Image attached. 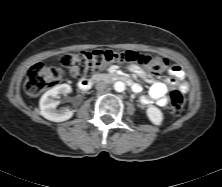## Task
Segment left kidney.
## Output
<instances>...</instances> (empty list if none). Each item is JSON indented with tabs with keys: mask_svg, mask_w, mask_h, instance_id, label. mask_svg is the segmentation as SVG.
Segmentation results:
<instances>
[{
	"mask_svg": "<svg viewBox=\"0 0 222 187\" xmlns=\"http://www.w3.org/2000/svg\"><path fill=\"white\" fill-rule=\"evenodd\" d=\"M146 112L148 118L154 125H161L163 121V113L158 108L150 106L147 108Z\"/></svg>",
	"mask_w": 222,
	"mask_h": 187,
	"instance_id": "obj_1",
	"label": "left kidney"
}]
</instances>
